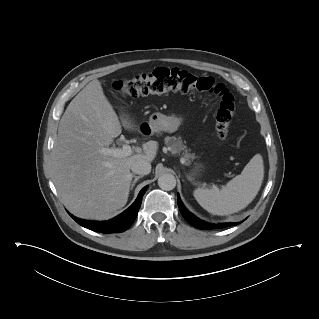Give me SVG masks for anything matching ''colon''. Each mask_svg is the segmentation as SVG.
Returning a JSON list of instances; mask_svg holds the SVG:
<instances>
[{
  "label": "colon",
  "instance_id": "obj_1",
  "mask_svg": "<svg viewBox=\"0 0 319 319\" xmlns=\"http://www.w3.org/2000/svg\"><path fill=\"white\" fill-rule=\"evenodd\" d=\"M114 90L128 97H140L166 92H206L217 95L220 104L216 112V132L219 138L228 136L236 106L233 95L212 77H199L178 68H157L127 81L114 83Z\"/></svg>",
  "mask_w": 319,
  "mask_h": 319
}]
</instances>
